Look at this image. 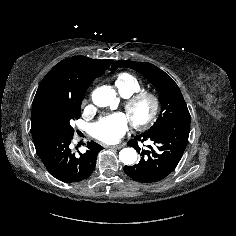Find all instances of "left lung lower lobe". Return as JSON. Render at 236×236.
<instances>
[{
	"label": "left lung lower lobe",
	"instance_id": "0a47b994",
	"mask_svg": "<svg viewBox=\"0 0 236 236\" xmlns=\"http://www.w3.org/2000/svg\"><path fill=\"white\" fill-rule=\"evenodd\" d=\"M190 132V118L179 119L168 123L163 128L143 133L128 142L129 146L140 153L138 164L125 166V173L142 183H155L171 174L185 151ZM137 140H151L152 146L147 150L140 149Z\"/></svg>",
	"mask_w": 236,
	"mask_h": 236
}]
</instances>
